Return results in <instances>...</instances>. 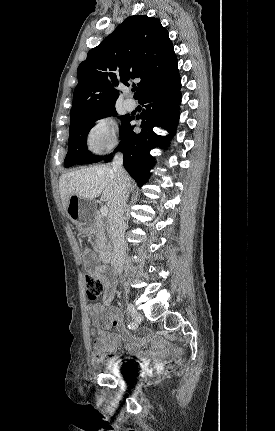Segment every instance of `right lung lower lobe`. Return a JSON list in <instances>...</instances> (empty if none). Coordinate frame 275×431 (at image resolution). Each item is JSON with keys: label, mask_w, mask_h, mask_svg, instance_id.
Returning a JSON list of instances; mask_svg holds the SVG:
<instances>
[{"label": "right lung lower lobe", "mask_w": 275, "mask_h": 431, "mask_svg": "<svg viewBox=\"0 0 275 431\" xmlns=\"http://www.w3.org/2000/svg\"><path fill=\"white\" fill-rule=\"evenodd\" d=\"M181 79L176 69L164 82L151 89L138 99L145 106L140 116L130 117L120 144L116 151H122L124 156V168L139 186L143 185L150 169L154 166V158L149 151L157 146H167L171 136H158L153 132L154 127H162L173 135L177 121L179 120V103L181 102ZM142 119L138 134L133 132L131 121ZM175 128V129H174ZM112 154L105 158L108 162Z\"/></svg>", "instance_id": "98d812e1"}]
</instances>
